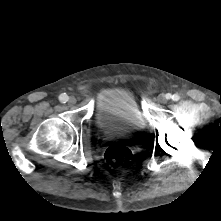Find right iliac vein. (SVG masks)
<instances>
[{
  "instance_id": "63e3f726",
  "label": "right iliac vein",
  "mask_w": 221,
  "mask_h": 221,
  "mask_svg": "<svg viewBox=\"0 0 221 221\" xmlns=\"http://www.w3.org/2000/svg\"><path fill=\"white\" fill-rule=\"evenodd\" d=\"M76 98L74 97V96H71V97H69V99H68V103L70 104V105H74L75 103H76Z\"/></svg>"
}]
</instances>
